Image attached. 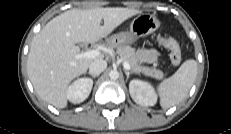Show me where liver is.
<instances>
[{
    "instance_id": "obj_1",
    "label": "liver",
    "mask_w": 231,
    "mask_h": 134,
    "mask_svg": "<svg viewBox=\"0 0 231 134\" xmlns=\"http://www.w3.org/2000/svg\"><path fill=\"white\" fill-rule=\"evenodd\" d=\"M138 13L122 7L71 9L50 20L32 39L27 59L28 76L38 96L57 108L66 107L69 83L85 74L94 60L104 57L79 58L76 44L106 38Z\"/></svg>"
}]
</instances>
